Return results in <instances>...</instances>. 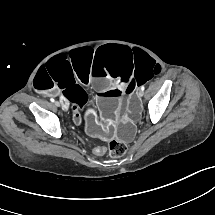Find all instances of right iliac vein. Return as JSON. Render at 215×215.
Returning <instances> with one entry per match:
<instances>
[{
	"mask_svg": "<svg viewBox=\"0 0 215 215\" xmlns=\"http://www.w3.org/2000/svg\"><path fill=\"white\" fill-rule=\"evenodd\" d=\"M54 106H55V107H59V106H60V103H59L58 101H55V102H54Z\"/></svg>",
	"mask_w": 215,
	"mask_h": 215,
	"instance_id": "1",
	"label": "right iliac vein"
}]
</instances>
